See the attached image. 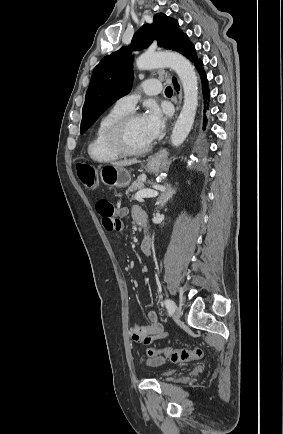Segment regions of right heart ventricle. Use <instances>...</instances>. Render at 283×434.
Segmentation results:
<instances>
[{"mask_svg":"<svg viewBox=\"0 0 283 434\" xmlns=\"http://www.w3.org/2000/svg\"><path fill=\"white\" fill-rule=\"evenodd\" d=\"M127 113L129 112L114 106L100 118L87 148L88 154L92 160L98 163H112L123 157V155L114 151L109 146L107 132L116 120Z\"/></svg>","mask_w":283,"mask_h":434,"instance_id":"right-heart-ventricle-1","label":"right heart ventricle"}]
</instances>
